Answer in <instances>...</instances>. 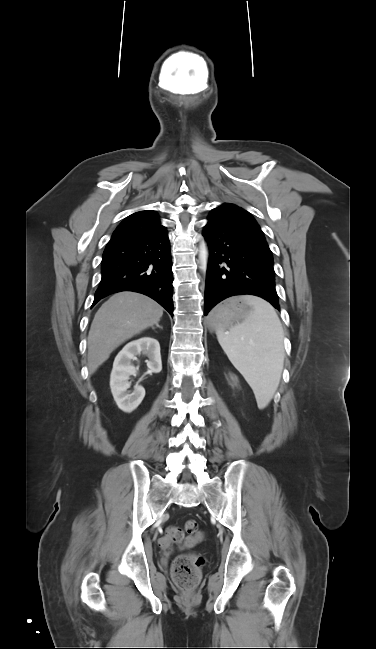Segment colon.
<instances>
[{"instance_id": "5ec220e1", "label": "colon", "mask_w": 376, "mask_h": 649, "mask_svg": "<svg viewBox=\"0 0 376 649\" xmlns=\"http://www.w3.org/2000/svg\"><path fill=\"white\" fill-rule=\"evenodd\" d=\"M199 537L198 524L193 520H189L183 526L168 527L161 537V544L165 548H170L173 545L181 544L186 538L194 540ZM203 563L204 558L198 554L178 556L171 568V574L176 585L183 590H192L199 581Z\"/></svg>"}]
</instances>
